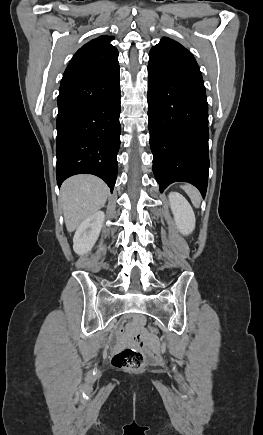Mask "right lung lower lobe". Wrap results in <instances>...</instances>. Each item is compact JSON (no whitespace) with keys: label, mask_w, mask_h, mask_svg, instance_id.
Masks as SVG:
<instances>
[{"label":"right lung lower lobe","mask_w":263,"mask_h":435,"mask_svg":"<svg viewBox=\"0 0 263 435\" xmlns=\"http://www.w3.org/2000/svg\"><path fill=\"white\" fill-rule=\"evenodd\" d=\"M119 65L103 74L60 85L57 115V184L87 173L113 191L120 147Z\"/></svg>","instance_id":"1"}]
</instances>
